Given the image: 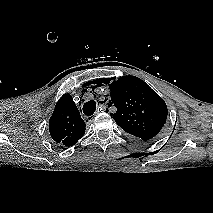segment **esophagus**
Segmentation results:
<instances>
[{"mask_svg": "<svg viewBox=\"0 0 213 213\" xmlns=\"http://www.w3.org/2000/svg\"><path fill=\"white\" fill-rule=\"evenodd\" d=\"M100 106H102V110H103V111H106L107 105L102 104V105H100ZM92 119H93V118H90V121H92Z\"/></svg>", "mask_w": 213, "mask_h": 213, "instance_id": "34e87169", "label": "esophagus"}]
</instances>
